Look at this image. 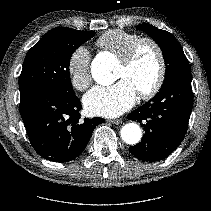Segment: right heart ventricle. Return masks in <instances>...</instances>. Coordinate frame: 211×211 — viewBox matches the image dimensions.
Instances as JSON below:
<instances>
[{"instance_id":"e07e8e85","label":"right heart ventricle","mask_w":211,"mask_h":211,"mask_svg":"<svg viewBox=\"0 0 211 211\" xmlns=\"http://www.w3.org/2000/svg\"><path fill=\"white\" fill-rule=\"evenodd\" d=\"M140 35L124 30L114 29L103 33L96 41V45L117 58H122Z\"/></svg>"}]
</instances>
